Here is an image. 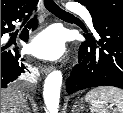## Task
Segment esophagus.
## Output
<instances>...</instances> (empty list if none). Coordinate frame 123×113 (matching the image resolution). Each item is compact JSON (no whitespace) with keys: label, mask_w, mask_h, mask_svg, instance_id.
Masks as SVG:
<instances>
[{"label":"esophagus","mask_w":123,"mask_h":113,"mask_svg":"<svg viewBox=\"0 0 123 113\" xmlns=\"http://www.w3.org/2000/svg\"><path fill=\"white\" fill-rule=\"evenodd\" d=\"M52 69H53V66H42L41 67V72L43 74H48L52 71Z\"/></svg>","instance_id":"esophagus-1"}]
</instances>
